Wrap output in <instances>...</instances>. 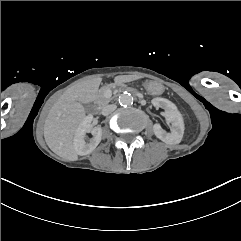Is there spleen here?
Returning <instances> with one entry per match:
<instances>
[{
    "instance_id": "1",
    "label": "spleen",
    "mask_w": 241,
    "mask_h": 241,
    "mask_svg": "<svg viewBox=\"0 0 241 241\" xmlns=\"http://www.w3.org/2000/svg\"><path fill=\"white\" fill-rule=\"evenodd\" d=\"M182 118H183V122H185V118H184V116H182Z\"/></svg>"
}]
</instances>
